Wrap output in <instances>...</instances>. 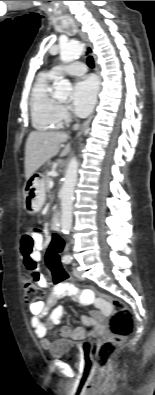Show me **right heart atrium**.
<instances>
[{
    "label": "right heart atrium",
    "mask_w": 155,
    "mask_h": 395,
    "mask_svg": "<svg viewBox=\"0 0 155 395\" xmlns=\"http://www.w3.org/2000/svg\"><path fill=\"white\" fill-rule=\"evenodd\" d=\"M59 116L62 122H67L70 119V114L65 106L59 107Z\"/></svg>",
    "instance_id": "d8ad5b80"
}]
</instances>
